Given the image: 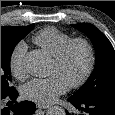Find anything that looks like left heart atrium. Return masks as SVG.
<instances>
[{
  "label": "left heart atrium",
  "mask_w": 115,
  "mask_h": 115,
  "mask_svg": "<svg viewBox=\"0 0 115 115\" xmlns=\"http://www.w3.org/2000/svg\"><path fill=\"white\" fill-rule=\"evenodd\" d=\"M67 83L58 75L45 79H33L21 88L24 99L48 105L67 90Z\"/></svg>",
  "instance_id": "left-heart-atrium-1"
}]
</instances>
